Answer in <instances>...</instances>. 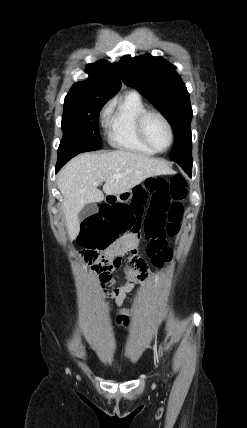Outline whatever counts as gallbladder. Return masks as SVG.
<instances>
[{"label": "gallbladder", "instance_id": "bac80fb5", "mask_svg": "<svg viewBox=\"0 0 247 428\" xmlns=\"http://www.w3.org/2000/svg\"><path fill=\"white\" fill-rule=\"evenodd\" d=\"M97 211L98 207L95 203L85 204L79 213V220H84L85 218L95 214Z\"/></svg>", "mask_w": 247, "mask_h": 428}]
</instances>
